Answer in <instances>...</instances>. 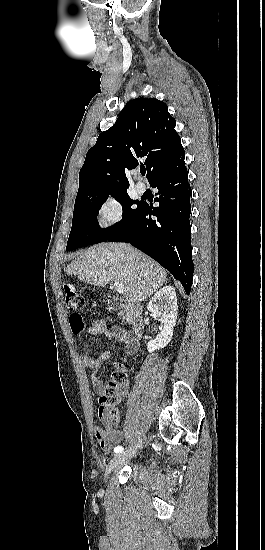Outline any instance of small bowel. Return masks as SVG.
<instances>
[{
    "label": "small bowel",
    "mask_w": 265,
    "mask_h": 550,
    "mask_svg": "<svg viewBox=\"0 0 265 550\" xmlns=\"http://www.w3.org/2000/svg\"><path fill=\"white\" fill-rule=\"evenodd\" d=\"M76 335L78 337H83L85 335L103 336L110 342L122 343L128 353H134L137 349V347L134 345V337L129 332L123 331L119 328H109L102 320L93 321L90 327ZM110 357L111 351L105 350L101 352L96 358L87 356L82 358L83 366L90 369L94 375L93 388L98 395L103 394L105 385L103 381L96 376V374L100 372L103 363L109 360ZM99 419L101 421V425H96L94 427V435L100 448L103 451H108L112 445L120 443L122 441V431L113 429L109 426L107 418L105 414L100 410V408Z\"/></svg>",
    "instance_id": "c3829d8e"
}]
</instances>
